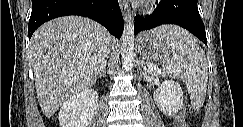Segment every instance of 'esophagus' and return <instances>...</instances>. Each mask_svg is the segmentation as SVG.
Here are the masks:
<instances>
[{
	"label": "esophagus",
	"mask_w": 243,
	"mask_h": 127,
	"mask_svg": "<svg viewBox=\"0 0 243 127\" xmlns=\"http://www.w3.org/2000/svg\"><path fill=\"white\" fill-rule=\"evenodd\" d=\"M119 4H120V9L124 17V20L128 21V19L131 17V12H130L128 2L125 0H119Z\"/></svg>",
	"instance_id": "esophagus-1"
}]
</instances>
